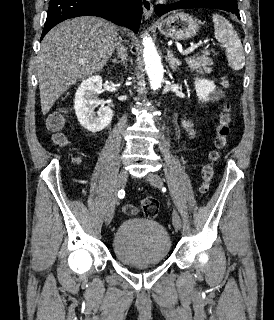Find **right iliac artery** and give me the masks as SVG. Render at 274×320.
I'll return each instance as SVG.
<instances>
[{
    "label": "right iliac artery",
    "mask_w": 274,
    "mask_h": 320,
    "mask_svg": "<svg viewBox=\"0 0 274 320\" xmlns=\"http://www.w3.org/2000/svg\"><path fill=\"white\" fill-rule=\"evenodd\" d=\"M124 196H125V191L124 190H119V192H118V198H124Z\"/></svg>",
    "instance_id": "obj_1"
}]
</instances>
